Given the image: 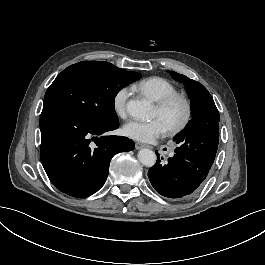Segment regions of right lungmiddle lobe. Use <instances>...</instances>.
Here are the masks:
<instances>
[{"mask_svg":"<svg viewBox=\"0 0 265 265\" xmlns=\"http://www.w3.org/2000/svg\"><path fill=\"white\" fill-rule=\"evenodd\" d=\"M140 76L104 61L76 63L53 81L45 94L43 109H59L93 125H115L116 94Z\"/></svg>","mask_w":265,"mask_h":265,"instance_id":"1","label":"right lung middle lobe"}]
</instances>
